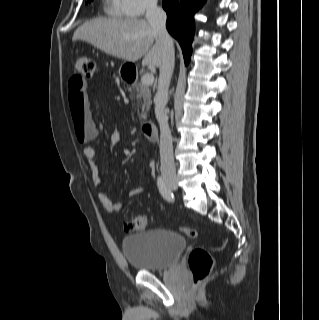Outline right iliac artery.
Masks as SVG:
<instances>
[{
    "label": "right iliac artery",
    "instance_id": "right-iliac-artery-1",
    "mask_svg": "<svg viewBox=\"0 0 319 320\" xmlns=\"http://www.w3.org/2000/svg\"><path fill=\"white\" fill-rule=\"evenodd\" d=\"M158 188H159L161 195L163 196V198L165 200H167L169 202L174 200V195H173L171 189L166 186L162 177H158Z\"/></svg>",
    "mask_w": 319,
    "mask_h": 320
}]
</instances>
